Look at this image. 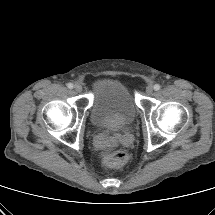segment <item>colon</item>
<instances>
[{
  "label": "colon",
  "instance_id": "1",
  "mask_svg": "<svg viewBox=\"0 0 215 215\" xmlns=\"http://www.w3.org/2000/svg\"><path fill=\"white\" fill-rule=\"evenodd\" d=\"M128 160V154L124 150H116L104 157V164L109 168H118Z\"/></svg>",
  "mask_w": 215,
  "mask_h": 215
}]
</instances>
